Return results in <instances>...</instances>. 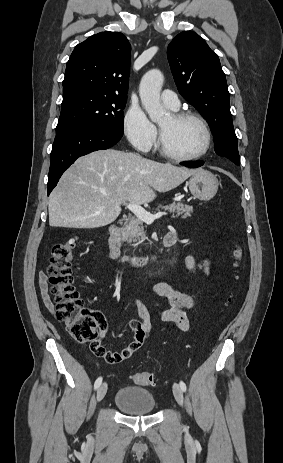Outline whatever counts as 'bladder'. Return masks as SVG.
Wrapping results in <instances>:
<instances>
[{
    "mask_svg": "<svg viewBox=\"0 0 283 463\" xmlns=\"http://www.w3.org/2000/svg\"><path fill=\"white\" fill-rule=\"evenodd\" d=\"M114 404L127 415H145L157 408L154 395L147 389L136 386L120 388L114 398Z\"/></svg>",
    "mask_w": 283,
    "mask_h": 463,
    "instance_id": "1",
    "label": "bladder"
}]
</instances>
